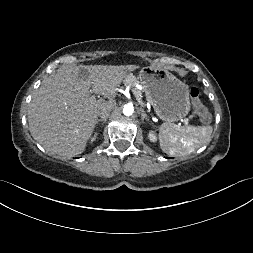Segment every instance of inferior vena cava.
Segmentation results:
<instances>
[{
	"label": "inferior vena cava",
	"instance_id": "obj_1",
	"mask_svg": "<svg viewBox=\"0 0 253 253\" xmlns=\"http://www.w3.org/2000/svg\"><path fill=\"white\" fill-rule=\"evenodd\" d=\"M116 106V102L112 101L104 106H102L99 110V115L101 118L106 117L109 115V113L113 110V108Z\"/></svg>",
	"mask_w": 253,
	"mask_h": 253
}]
</instances>
